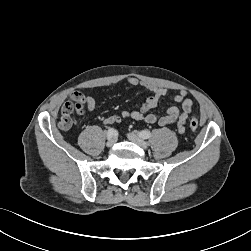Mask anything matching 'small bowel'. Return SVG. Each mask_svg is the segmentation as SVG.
<instances>
[{"instance_id": "c3829d8e", "label": "small bowel", "mask_w": 251, "mask_h": 251, "mask_svg": "<svg viewBox=\"0 0 251 251\" xmlns=\"http://www.w3.org/2000/svg\"><path fill=\"white\" fill-rule=\"evenodd\" d=\"M127 83L130 86H140L150 92V96L137 110L123 111L120 115H111L103 118L102 122L105 125L120 123L122 119H133L136 121H142L148 124L158 123L160 126H168L176 124L177 131L180 134L185 132V126L188 116L192 112L193 102L187 97V93L184 90L179 91L174 100L180 103V107L172 106L168 108L164 115H157L151 112L154 109L160 98L167 95L168 90L163 87L156 86L154 84L141 81L136 77H128ZM71 99L75 102H81L85 104L88 111L93 112L96 108V101L92 96H83L79 92H74L71 95Z\"/></svg>"}]
</instances>
